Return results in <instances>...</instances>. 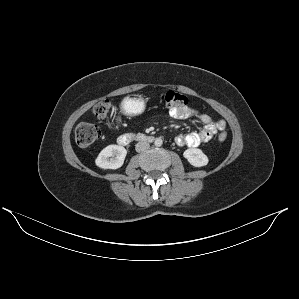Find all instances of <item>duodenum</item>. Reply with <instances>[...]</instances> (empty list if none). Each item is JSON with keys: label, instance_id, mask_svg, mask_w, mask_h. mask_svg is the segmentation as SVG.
Masks as SVG:
<instances>
[{"label": "duodenum", "instance_id": "obj_1", "mask_svg": "<svg viewBox=\"0 0 299 299\" xmlns=\"http://www.w3.org/2000/svg\"><path fill=\"white\" fill-rule=\"evenodd\" d=\"M153 140L154 138L152 136L132 133L122 134L117 139L118 143L122 146H126L133 141L152 142Z\"/></svg>", "mask_w": 299, "mask_h": 299}]
</instances>
